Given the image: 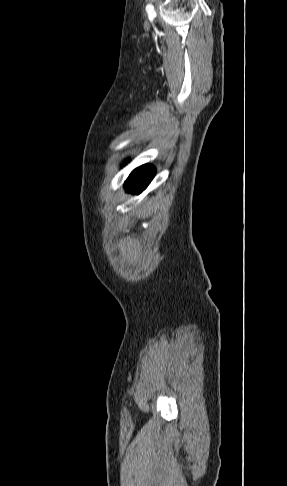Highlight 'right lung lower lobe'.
I'll return each instance as SVG.
<instances>
[{"mask_svg": "<svg viewBox=\"0 0 287 486\" xmlns=\"http://www.w3.org/2000/svg\"><path fill=\"white\" fill-rule=\"evenodd\" d=\"M154 175V168L149 164H144L129 175L125 182V188L132 194H139L148 186Z\"/></svg>", "mask_w": 287, "mask_h": 486, "instance_id": "obj_1", "label": "right lung lower lobe"}]
</instances>
